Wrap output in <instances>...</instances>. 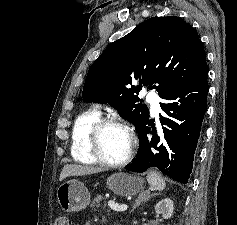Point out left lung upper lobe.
Returning a JSON list of instances; mask_svg holds the SVG:
<instances>
[{"instance_id":"left-lung-upper-lobe-1","label":"left lung upper lobe","mask_w":237,"mask_h":225,"mask_svg":"<svg viewBox=\"0 0 237 225\" xmlns=\"http://www.w3.org/2000/svg\"><path fill=\"white\" fill-rule=\"evenodd\" d=\"M207 72L206 54L193 27L177 16L153 17L112 42L95 60L82 97L109 103L138 131L149 117L147 106L138 103L140 90L156 89L161 97L196 86Z\"/></svg>"}]
</instances>
